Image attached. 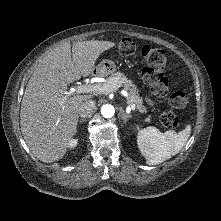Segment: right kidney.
I'll return each instance as SVG.
<instances>
[{
    "mask_svg": "<svg viewBox=\"0 0 221 221\" xmlns=\"http://www.w3.org/2000/svg\"><path fill=\"white\" fill-rule=\"evenodd\" d=\"M78 140L77 139H71L68 143L69 148H75L77 146Z\"/></svg>",
    "mask_w": 221,
    "mask_h": 221,
    "instance_id": "right-kidney-1",
    "label": "right kidney"
}]
</instances>
